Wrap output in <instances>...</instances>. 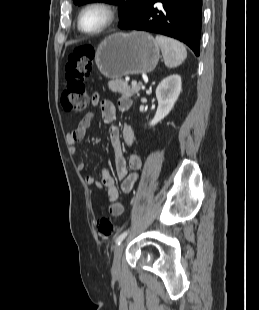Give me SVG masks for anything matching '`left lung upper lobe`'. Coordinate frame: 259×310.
<instances>
[{"label":"left lung upper lobe","mask_w":259,"mask_h":310,"mask_svg":"<svg viewBox=\"0 0 259 310\" xmlns=\"http://www.w3.org/2000/svg\"><path fill=\"white\" fill-rule=\"evenodd\" d=\"M96 1L113 3L119 6V12H120L119 26L123 25L127 21L136 17L146 8L148 3L150 2V0H73V2L77 5H82Z\"/></svg>","instance_id":"left-lung-upper-lobe-1"}]
</instances>
